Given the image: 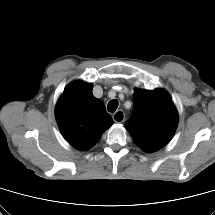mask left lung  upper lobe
<instances>
[{
  "instance_id": "left-lung-upper-lobe-1",
  "label": "left lung upper lobe",
  "mask_w": 215,
  "mask_h": 215,
  "mask_svg": "<svg viewBox=\"0 0 215 215\" xmlns=\"http://www.w3.org/2000/svg\"><path fill=\"white\" fill-rule=\"evenodd\" d=\"M134 112L125 124L136 145L153 153L173 138L178 114L169 94L163 89H135Z\"/></svg>"
}]
</instances>
